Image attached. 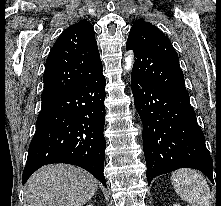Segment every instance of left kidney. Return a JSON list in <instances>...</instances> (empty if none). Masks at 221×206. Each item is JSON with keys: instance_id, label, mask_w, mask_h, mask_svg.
<instances>
[{"instance_id": "1", "label": "left kidney", "mask_w": 221, "mask_h": 206, "mask_svg": "<svg viewBox=\"0 0 221 206\" xmlns=\"http://www.w3.org/2000/svg\"><path fill=\"white\" fill-rule=\"evenodd\" d=\"M173 206H181V205H179V204H175V205H173Z\"/></svg>"}]
</instances>
